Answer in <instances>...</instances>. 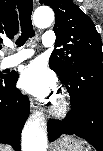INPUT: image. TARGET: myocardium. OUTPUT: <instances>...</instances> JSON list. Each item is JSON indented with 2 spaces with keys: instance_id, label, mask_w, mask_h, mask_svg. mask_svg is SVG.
Returning a JSON list of instances; mask_svg holds the SVG:
<instances>
[{
  "instance_id": "obj_1",
  "label": "myocardium",
  "mask_w": 103,
  "mask_h": 151,
  "mask_svg": "<svg viewBox=\"0 0 103 151\" xmlns=\"http://www.w3.org/2000/svg\"><path fill=\"white\" fill-rule=\"evenodd\" d=\"M70 109V104L68 97L66 95H60L51 106L50 112L51 114L58 118L63 119L66 117Z\"/></svg>"
}]
</instances>
